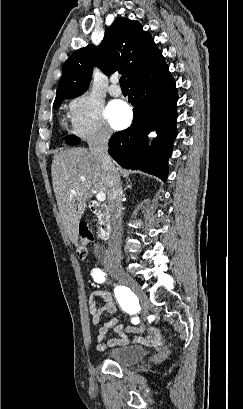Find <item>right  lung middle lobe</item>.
<instances>
[{
    "label": "right lung middle lobe",
    "mask_w": 243,
    "mask_h": 409,
    "mask_svg": "<svg viewBox=\"0 0 243 409\" xmlns=\"http://www.w3.org/2000/svg\"><path fill=\"white\" fill-rule=\"evenodd\" d=\"M67 98H68V97H63V98H61L59 101L54 102V108H55V109L58 108V107L60 106V104L62 103V101H63L64 99H67ZM79 142H80V140H79L78 138H76V137L67 138V143H68L69 145H71V146L77 145V144H79Z\"/></svg>",
    "instance_id": "obj_1"
}]
</instances>
